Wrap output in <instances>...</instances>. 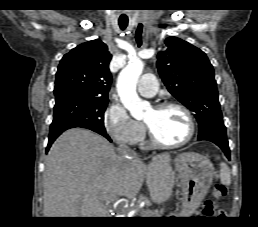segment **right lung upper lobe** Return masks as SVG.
<instances>
[{"mask_svg": "<svg viewBox=\"0 0 258 227\" xmlns=\"http://www.w3.org/2000/svg\"><path fill=\"white\" fill-rule=\"evenodd\" d=\"M106 44L96 39L72 49L61 59L56 73L55 96L72 93L107 99L112 82Z\"/></svg>", "mask_w": 258, "mask_h": 227, "instance_id": "right-lung-upper-lobe-1", "label": "right lung upper lobe"}]
</instances>
